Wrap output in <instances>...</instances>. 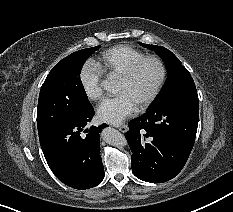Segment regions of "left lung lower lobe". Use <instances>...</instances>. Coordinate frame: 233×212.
Masks as SVG:
<instances>
[{"instance_id":"1","label":"left lung lower lobe","mask_w":233,"mask_h":212,"mask_svg":"<svg viewBox=\"0 0 233 212\" xmlns=\"http://www.w3.org/2000/svg\"><path fill=\"white\" fill-rule=\"evenodd\" d=\"M198 119V100L173 99L151 105L143 116L130 121L125 136L133 153L134 175L151 183L174 178L190 155Z\"/></svg>"}]
</instances>
